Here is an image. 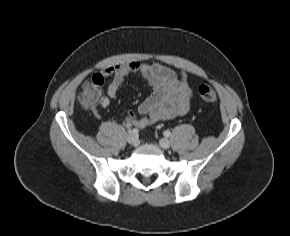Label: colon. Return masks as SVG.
<instances>
[{
  "mask_svg": "<svg viewBox=\"0 0 290 236\" xmlns=\"http://www.w3.org/2000/svg\"><path fill=\"white\" fill-rule=\"evenodd\" d=\"M102 80L93 78L86 80L79 91V101L88 109H94L99 102L101 95ZM198 95L205 103H213L217 100V94L213 87L201 85L198 88Z\"/></svg>",
  "mask_w": 290,
  "mask_h": 236,
  "instance_id": "colon-1",
  "label": "colon"
}]
</instances>
